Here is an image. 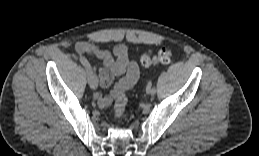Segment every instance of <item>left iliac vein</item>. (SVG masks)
<instances>
[{
	"instance_id": "left-iliac-vein-1",
	"label": "left iliac vein",
	"mask_w": 259,
	"mask_h": 156,
	"mask_svg": "<svg viewBox=\"0 0 259 156\" xmlns=\"http://www.w3.org/2000/svg\"><path fill=\"white\" fill-rule=\"evenodd\" d=\"M147 94L152 95V87L146 89Z\"/></svg>"
}]
</instances>
